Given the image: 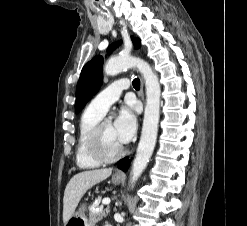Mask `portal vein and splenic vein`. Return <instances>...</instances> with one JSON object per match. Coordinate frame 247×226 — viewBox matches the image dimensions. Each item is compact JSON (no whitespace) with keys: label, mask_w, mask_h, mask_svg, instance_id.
I'll use <instances>...</instances> for the list:
<instances>
[{"label":"portal vein and splenic vein","mask_w":247,"mask_h":226,"mask_svg":"<svg viewBox=\"0 0 247 226\" xmlns=\"http://www.w3.org/2000/svg\"><path fill=\"white\" fill-rule=\"evenodd\" d=\"M102 203H103L104 205H108V204H110V199H109V198H104V199L102 200Z\"/></svg>","instance_id":"obj_1"}]
</instances>
